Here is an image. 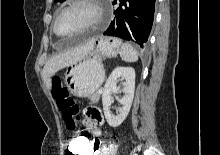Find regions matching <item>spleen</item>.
I'll use <instances>...</instances> for the list:
<instances>
[{"label":"spleen","instance_id":"obj_1","mask_svg":"<svg viewBox=\"0 0 220 155\" xmlns=\"http://www.w3.org/2000/svg\"><path fill=\"white\" fill-rule=\"evenodd\" d=\"M120 56L125 62H136L138 60L137 51L129 43L121 45Z\"/></svg>","mask_w":220,"mask_h":155}]
</instances>
